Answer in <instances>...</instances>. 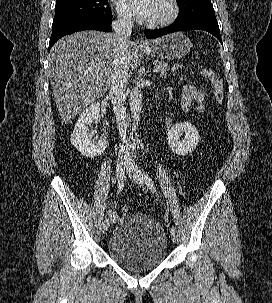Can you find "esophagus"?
<instances>
[{
	"mask_svg": "<svg viewBox=\"0 0 272 303\" xmlns=\"http://www.w3.org/2000/svg\"><path fill=\"white\" fill-rule=\"evenodd\" d=\"M148 44L143 38H137L136 46L137 47H146Z\"/></svg>",
	"mask_w": 272,
	"mask_h": 303,
	"instance_id": "34e87169",
	"label": "esophagus"
}]
</instances>
